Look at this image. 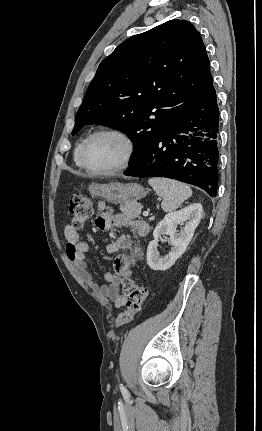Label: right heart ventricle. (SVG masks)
<instances>
[{"label": "right heart ventricle", "mask_w": 262, "mask_h": 431, "mask_svg": "<svg viewBox=\"0 0 262 431\" xmlns=\"http://www.w3.org/2000/svg\"><path fill=\"white\" fill-rule=\"evenodd\" d=\"M84 141H85V139L81 140L77 144V146L74 149V153H73V161H74V164L76 165V167H78V168H82V165L80 163V151H81V148H82Z\"/></svg>", "instance_id": "1"}]
</instances>
